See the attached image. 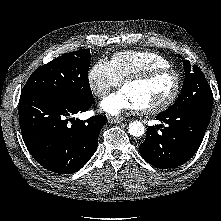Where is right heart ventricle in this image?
<instances>
[{"label": "right heart ventricle", "mask_w": 221, "mask_h": 221, "mask_svg": "<svg viewBox=\"0 0 221 221\" xmlns=\"http://www.w3.org/2000/svg\"><path fill=\"white\" fill-rule=\"evenodd\" d=\"M111 68L120 82L125 78L143 71L171 67L170 61L164 56L142 50H124L112 55L109 61Z\"/></svg>", "instance_id": "e07e8e85"}]
</instances>
